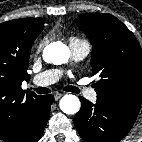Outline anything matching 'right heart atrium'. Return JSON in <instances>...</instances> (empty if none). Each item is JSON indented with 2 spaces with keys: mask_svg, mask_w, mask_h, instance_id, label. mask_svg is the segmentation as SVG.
Here are the masks:
<instances>
[{
  "mask_svg": "<svg viewBox=\"0 0 142 142\" xmlns=\"http://www.w3.org/2000/svg\"><path fill=\"white\" fill-rule=\"evenodd\" d=\"M42 45H43V42H41V43L39 44L38 49H40V48L42 47Z\"/></svg>",
  "mask_w": 142,
  "mask_h": 142,
  "instance_id": "right-heart-atrium-1",
  "label": "right heart atrium"
}]
</instances>
